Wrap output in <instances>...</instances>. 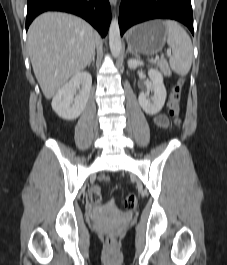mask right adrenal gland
<instances>
[{
  "label": "right adrenal gland",
  "mask_w": 227,
  "mask_h": 265,
  "mask_svg": "<svg viewBox=\"0 0 227 265\" xmlns=\"http://www.w3.org/2000/svg\"><path fill=\"white\" fill-rule=\"evenodd\" d=\"M92 62H95V52L93 53V55L91 57V60H90V62L88 63L87 66L90 67V65H91Z\"/></svg>",
  "instance_id": "1"
}]
</instances>
